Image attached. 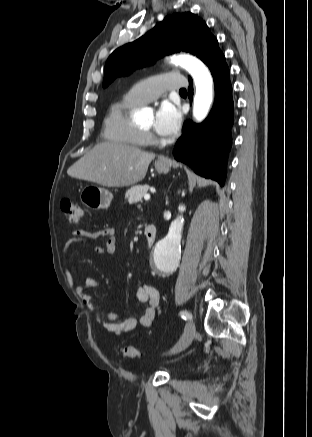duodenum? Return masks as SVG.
<instances>
[{
    "instance_id": "1",
    "label": "duodenum",
    "mask_w": 312,
    "mask_h": 437,
    "mask_svg": "<svg viewBox=\"0 0 312 437\" xmlns=\"http://www.w3.org/2000/svg\"><path fill=\"white\" fill-rule=\"evenodd\" d=\"M157 230L154 224L148 223L145 226V243L146 248H150L156 240Z\"/></svg>"
}]
</instances>
